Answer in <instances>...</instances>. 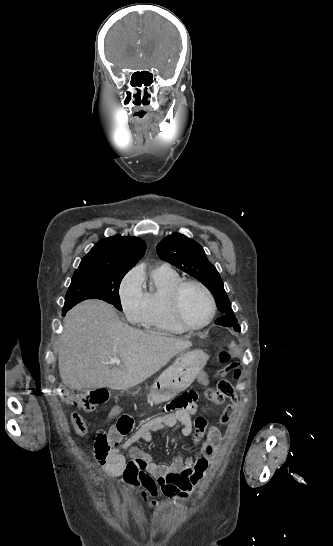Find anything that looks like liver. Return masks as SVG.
I'll list each match as a JSON object with an SVG mask.
<instances>
[{
  "instance_id": "6515ba94",
  "label": "liver",
  "mask_w": 333,
  "mask_h": 546,
  "mask_svg": "<svg viewBox=\"0 0 333 546\" xmlns=\"http://www.w3.org/2000/svg\"><path fill=\"white\" fill-rule=\"evenodd\" d=\"M63 326L59 373L63 384L75 390L131 388L192 346L188 340L133 329L111 305L96 299L71 309ZM112 357L121 358L119 367L108 366Z\"/></svg>"
}]
</instances>
